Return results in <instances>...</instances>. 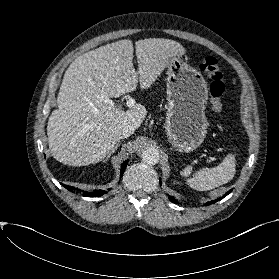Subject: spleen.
Returning <instances> with one entry per match:
<instances>
[{"label":"spleen","mask_w":279,"mask_h":279,"mask_svg":"<svg viewBox=\"0 0 279 279\" xmlns=\"http://www.w3.org/2000/svg\"><path fill=\"white\" fill-rule=\"evenodd\" d=\"M235 166V156L230 154L219 166L211 169L203 168L196 173L194 178L189 179L187 182L190 187L199 191L212 190L232 180L236 172ZM181 174L189 176L191 167H186Z\"/></svg>","instance_id":"obj_1"}]
</instances>
